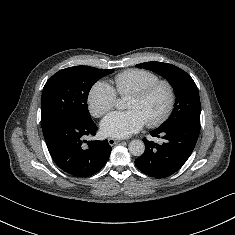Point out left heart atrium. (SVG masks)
<instances>
[{"label":"left heart atrium","mask_w":235,"mask_h":235,"mask_svg":"<svg viewBox=\"0 0 235 235\" xmlns=\"http://www.w3.org/2000/svg\"><path fill=\"white\" fill-rule=\"evenodd\" d=\"M146 122L142 113L136 109L116 111L102 120L101 131L109 137L126 138L142 129Z\"/></svg>","instance_id":"left-heart-atrium-1"}]
</instances>
